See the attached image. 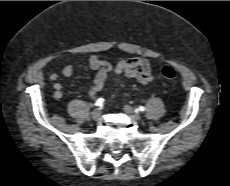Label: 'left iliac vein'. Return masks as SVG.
<instances>
[{"mask_svg": "<svg viewBox=\"0 0 230 186\" xmlns=\"http://www.w3.org/2000/svg\"><path fill=\"white\" fill-rule=\"evenodd\" d=\"M124 112L130 116L132 119H134L135 121H140L141 120V116L139 115V113H137L131 106L126 105L124 106Z\"/></svg>", "mask_w": 230, "mask_h": 186, "instance_id": "1", "label": "left iliac vein"}]
</instances>
